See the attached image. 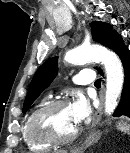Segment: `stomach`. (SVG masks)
<instances>
[{
  "mask_svg": "<svg viewBox=\"0 0 130 153\" xmlns=\"http://www.w3.org/2000/svg\"><path fill=\"white\" fill-rule=\"evenodd\" d=\"M100 138V133L98 131H92L90 133V135L87 137L86 139V142H85V145L88 147V146H91L93 145L95 142L98 141V139Z\"/></svg>",
  "mask_w": 130,
  "mask_h": 153,
  "instance_id": "1",
  "label": "stomach"
}]
</instances>
